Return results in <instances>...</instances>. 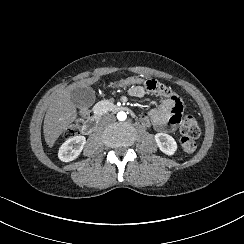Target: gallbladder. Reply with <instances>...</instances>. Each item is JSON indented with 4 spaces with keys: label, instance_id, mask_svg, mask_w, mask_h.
<instances>
[{
    "label": "gallbladder",
    "instance_id": "bac80fb5",
    "mask_svg": "<svg viewBox=\"0 0 244 244\" xmlns=\"http://www.w3.org/2000/svg\"><path fill=\"white\" fill-rule=\"evenodd\" d=\"M71 100L77 108H89L96 101L95 91L90 88H76L71 94Z\"/></svg>",
    "mask_w": 244,
    "mask_h": 244
}]
</instances>
